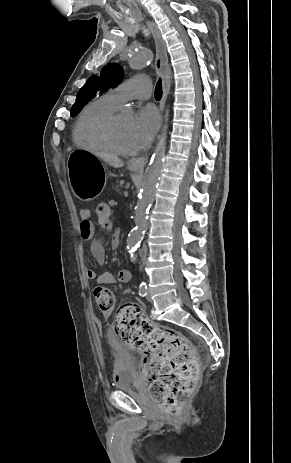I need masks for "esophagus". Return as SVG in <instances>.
I'll list each match as a JSON object with an SVG mask.
<instances>
[{
    "label": "esophagus",
    "instance_id": "obj_1",
    "mask_svg": "<svg viewBox=\"0 0 291 463\" xmlns=\"http://www.w3.org/2000/svg\"><path fill=\"white\" fill-rule=\"evenodd\" d=\"M147 25L152 32L156 45V57H155V68L160 74L163 82V97L160 104L161 110H163L167 94L170 89V72L168 68V57L166 52V45L161 37L160 31L156 24L152 21H147ZM148 162V156H141L138 158H132L129 164L132 166L143 168Z\"/></svg>",
    "mask_w": 291,
    "mask_h": 463
}]
</instances>
